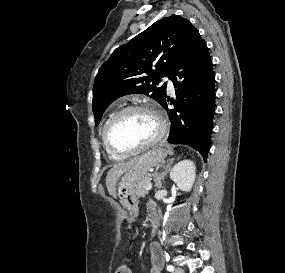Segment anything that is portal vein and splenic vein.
Listing matches in <instances>:
<instances>
[{
    "mask_svg": "<svg viewBox=\"0 0 285 273\" xmlns=\"http://www.w3.org/2000/svg\"><path fill=\"white\" fill-rule=\"evenodd\" d=\"M152 189V183H148L146 186V191H149Z\"/></svg>",
    "mask_w": 285,
    "mask_h": 273,
    "instance_id": "portal-vein-and-splenic-vein-1",
    "label": "portal vein and splenic vein"
}]
</instances>
